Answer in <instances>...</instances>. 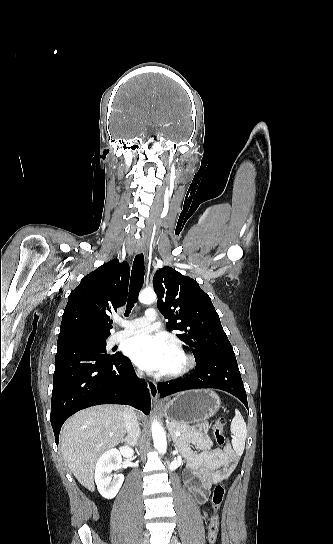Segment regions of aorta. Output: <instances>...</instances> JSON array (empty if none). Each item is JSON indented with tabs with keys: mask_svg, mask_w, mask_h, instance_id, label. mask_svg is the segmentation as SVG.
<instances>
[{
	"mask_svg": "<svg viewBox=\"0 0 333 544\" xmlns=\"http://www.w3.org/2000/svg\"><path fill=\"white\" fill-rule=\"evenodd\" d=\"M139 301L145 304H151L156 301V294L153 290L145 289L139 295ZM152 436L154 441V446L159 453H166L167 450V441L164 429L157 420H154L152 423Z\"/></svg>",
	"mask_w": 333,
	"mask_h": 544,
	"instance_id": "762f6f07",
	"label": "aorta"
}]
</instances>
